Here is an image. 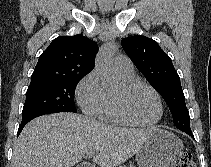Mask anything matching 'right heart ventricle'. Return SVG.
<instances>
[{
  "label": "right heart ventricle",
  "mask_w": 211,
  "mask_h": 167,
  "mask_svg": "<svg viewBox=\"0 0 211 167\" xmlns=\"http://www.w3.org/2000/svg\"><path fill=\"white\" fill-rule=\"evenodd\" d=\"M120 76L122 77V79L124 81H131L134 80V75L130 74V75H124L119 73ZM108 101H109V106H108V110L106 112V115L104 116L105 121H108L112 124L115 125H120V126H129L130 124L126 123L125 121H123L116 113L114 105H113V97L108 95Z\"/></svg>",
  "instance_id": "obj_1"
}]
</instances>
